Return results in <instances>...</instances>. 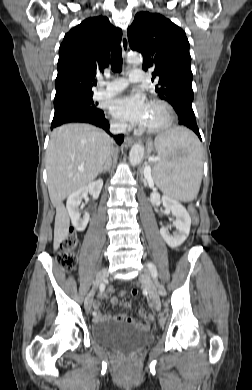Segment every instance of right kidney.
<instances>
[{"mask_svg": "<svg viewBox=\"0 0 252 390\" xmlns=\"http://www.w3.org/2000/svg\"><path fill=\"white\" fill-rule=\"evenodd\" d=\"M102 186L103 180L99 179L97 181L89 183L88 186L82 187L81 189L69 195V197L67 198L66 207L68 210V214L71 218L74 228L77 231H84L90 219L89 214H86L81 217L79 206L81 204L82 199L85 198L88 193L92 195L93 199H97L101 192Z\"/></svg>", "mask_w": 252, "mask_h": 390, "instance_id": "right-kidney-1", "label": "right kidney"}]
</instances>
